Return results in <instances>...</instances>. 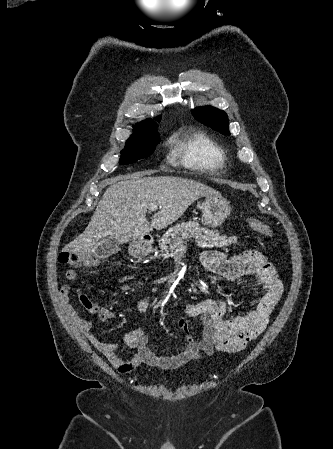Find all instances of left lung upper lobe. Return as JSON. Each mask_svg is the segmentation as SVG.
<instances>
[{
    "label": "left lung upper lobe",
    "instance_id": "left-lung-upper-lobe-1",
    "mask_svg": "<svg viewBox=\"0 0 333 449\" xmlns=\"http://www.w3.org/2000/svg\"><path fill=\"white\" fill-rule=\"evenodd\" d=\"M192 113L198 121L222 134H230L228 130V118L224 111L208 106L193 109Z\"/></svg>",
    "mask_w": 333,
    "mask_h": 449
}]
</instances>
